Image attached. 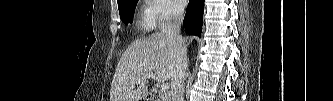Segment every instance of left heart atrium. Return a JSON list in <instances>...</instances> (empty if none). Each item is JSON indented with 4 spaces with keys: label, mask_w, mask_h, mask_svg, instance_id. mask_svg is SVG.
I'll return each instance as SVG.
<instances>
[{
    "label": "left heart atrium",
    "mask_w": 333,
    "mask_h": 101,
    "mask_svg": "<svg viewBox=\"0 0 333 101\" xmlns=\"http://www.w3.org/2000/svg\"><path fill=\"white\" fill-rule=\"evenodd\" d=\"M175 5L179 8V9H183L186 5V1L185 0H175L174 1Z\"/></svg>",
    "instance_id": "left-heart-atrium-1"
}]
</instances>
